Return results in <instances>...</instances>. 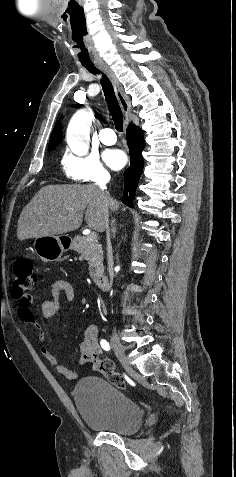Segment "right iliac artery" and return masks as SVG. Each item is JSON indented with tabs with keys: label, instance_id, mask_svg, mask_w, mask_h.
<instances>
[{
	"label": "right iliac artery",
	"instance_id": "obj_1",
	"mask_svg": "<svg viewBox=\"0 0 236 477\" xmlns=\"http://www.w3.org/2000/svg\"><path fill=\"white\" fill-rule=\"evenodd\" d=\"M100 344H101V347L105 350V351H109L110 350V345L109 343L105 340V339H102L100 341Z\"/></svg>",
	"mask_w": 236,
	"mask_h": 477
}]
</instances>
